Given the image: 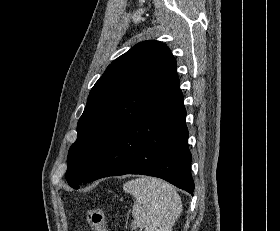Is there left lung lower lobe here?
<instances>
[{
	"instance_id": "left-lung-lower-lobe-1",
	"label": "left lung lower lobe",
	"mask_w": 280,
	"mask_h": 231,
	"mask_svg": "<svg viewBox=\"0 0 280 231\" xmlns=\"http://www.w3.org/2000/svg\"><path fill=\"white\" fill-rule=\"evenodd\" d=\"M186 110L179 86L124 129L82 184L124 174L162 178L193 194Z\"/></svg>"
}]
</instances>
